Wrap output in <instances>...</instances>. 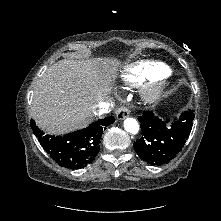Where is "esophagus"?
Masks as SVG:
<instances>
[{
    "mask_svg": "<svg viewBox=\"0 0 221 221\" xmlns=\"http://www.w3.org/2000/svg\"><path fill=\"white\" fill-rule=\"evenodd\" d=\"M129 115H130V110L125 106H121L116 112V117L119 120H123L127 118Z\"/></svg>",
    "mask_w": 221,
    "mask_h": 221,
    "instance_id": "obj_1",
    "label": "esophagus"
}]
</instances>
